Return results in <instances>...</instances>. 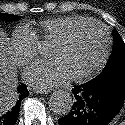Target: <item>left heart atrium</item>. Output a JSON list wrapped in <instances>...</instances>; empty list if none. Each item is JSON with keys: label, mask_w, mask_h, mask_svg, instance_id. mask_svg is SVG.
<instances>
[{"label": "left heart atrium", "mask_w": 125, "mask_h": 125, "mask_svg": "<svg viewBox=\"0 0 125 125\" xmlns=\"http://www.w3.org/2000/svg\"><path fill=\"white\" fill-rule=\"evenodd\" d=\"M70 78L63 63L54 57L35 61L24 72L25 81L40 90L58 86Z\"/></svg>", "instance_id": "1"}]
</instances>
